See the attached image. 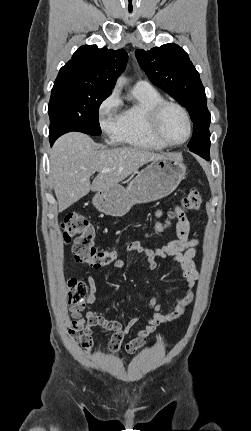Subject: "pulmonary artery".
<instances>
[{
	"instance_id": "e3ab8cb5",
	"label": "pulmonary artery",
	"mask_w": 251,
	"mask_h": 431,
	"mask_svg": "<svg viewBox=\"0 0 251 431\" xmlns=\"http://www.w3.org/2000/svg\"><path fill=\"white\" fill-rule=\"evenodd\" d=\"M134 88H139V89H148V88H152L151 84L145 80H138L136 81Z\"/></svg>"
}]
</instances>
